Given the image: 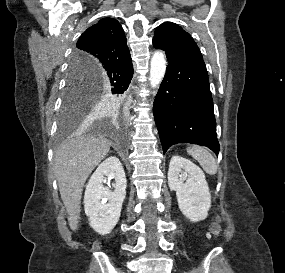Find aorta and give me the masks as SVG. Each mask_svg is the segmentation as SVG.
Instances as JSON below:
<instances>
[{"label":"aorta","mask_w":285,"mask_h":273,"mask_svg":"<svg viewBox=\"0 0 285 273\" xmlns=\"http://www.w3.org/2000/svg\"><path fill=\"white\" fill-rule=\"evenodd\" d=\"M166 70V58L162 51L157 50L150 61L149 83L152 88L157 87L163 80Z\"/></svg>","instance_id":"obj_1"}]
</instances>
